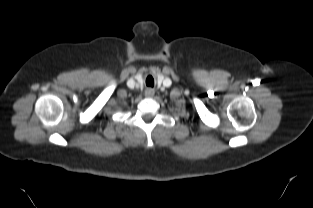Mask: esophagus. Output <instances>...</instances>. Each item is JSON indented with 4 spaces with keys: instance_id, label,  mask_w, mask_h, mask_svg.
I'll return each mask as SVG.
<instances>
[{
    "instance_id": "esophagus-1",
    "label": "esophagus",
    "mask_w": 313,
    "mask_h": 208,
    "mask_svg": "<svg viewBox=\"0 0 313 208\" xmlns=\"http://www.w3.org/2000/svg\"><path fill=\"white\" fill-rule=\"evenodd\" d=\"M153 95H154V90H153V89L147 88V89L145 90V96H146V97L150 98V97H152Z\"/></svg>"
}]
</instances>
